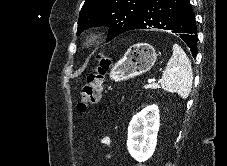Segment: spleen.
Returning a JSON list of instances; mask_svg holds the SVG:
<instances>
[{
	"label": "spleen",
	"mask_w": 227,
	"mask_h": 166,
	"mask_svg": "<svg viewBox=\"0 0 227 166\" xmlns=\"http://www.w3.org/2000/svg\"><path fill=\"white\" fill-rule=\"evenodd\" d=\"M172 50L173 54L163 72L161 87L186 99L193 83L191 63L179 45L174 44Z\"/></svg>",
	"instance_id": "3e777b00"
}]
</instances>
